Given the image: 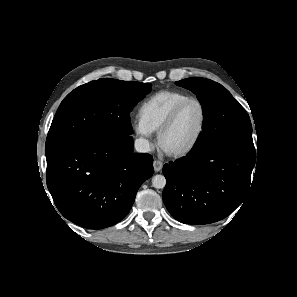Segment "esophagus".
<instances>
[{
  "instance_id": "34e87169",
  "label": "esophagus",
  "mask_w": 297,
  "mask_h": 297,
  "mask_svg": "<svg viewBox=\"0 0 297 297\" xmlns=\"http://www.w3.org/2000/svg\"><path fill=\"white\" fill-rule=\"evenodd\" d=\"M153 167H154V170L156 172H159L162 169V167H163V163L161 161H159V160H155L153 162Z\"/></svg>"
}]
</instances>
